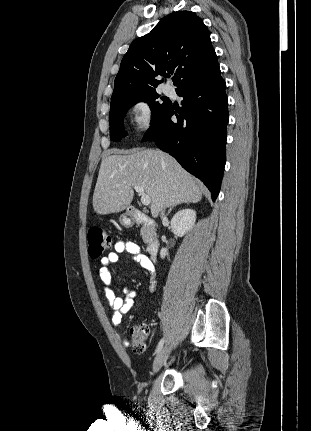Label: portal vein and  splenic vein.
<instances>
[{"instance_id":"obj_1","label":"portal vein and splenic vein","mask_w":311,"mask_h":431,"mask_svg":"<svg viewBox=\"0 0 311 431\" xmlns=\"http://www.w3.org/2000/svg\"><path fill=\"white\" fill-rule=\"evenodd\" d=\"M117 186H120V184H117ZM134 190L138 192V196H141L143 206H149V204H151V198L145 194L144 188H141V186H134Z\"/></svg>"}]
</instances>
